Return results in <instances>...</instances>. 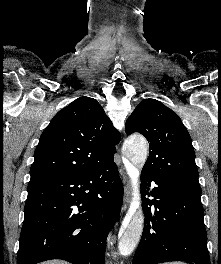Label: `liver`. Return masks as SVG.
Masks as SVG:
<instances>
[{
	"instance_id": "liver-1",
	"label": "liver",
	"mask_w": 221,
	"mask_h": 264,
	"mask_svg": "<svg viewBox=\"0 0 221 264\" xmlns=\"http://www.w3.org/2000/svg\"><path fill=\"white\" fill-rule=\"evenodd\" d=\"M40 264H69L65 261H61V260H51V261H46Z\"/></svg>"
}]
</instances>
